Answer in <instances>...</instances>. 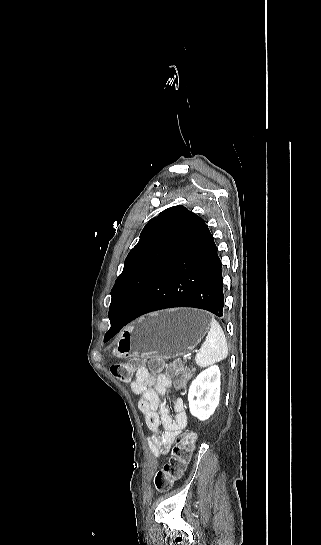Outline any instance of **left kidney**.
<instances>
[{
	"mask_svg": "<svg viewBox=\"0 0 321 545\" xmlns=\"http://www.w3.org/2000/svg\"><path fill=\"white\" fill-rule=\"evenodd\" d=\"M220 371L217 365L202 371L192 381L188 391L189 409L193 417L206 421L213 415L220 401Z\"/></svg>",
	"mask_w": 321,
	"mask_h": 545,
	"instance_id": "obj_1",
	"label": "left kidney"
}]
</instances>
